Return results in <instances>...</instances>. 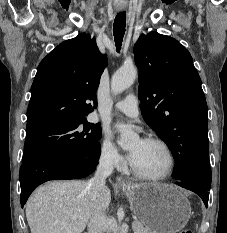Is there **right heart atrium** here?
I'll use <instances>...</instances> for the list:
<instances>
[{"label":"right heart atrium","instance_id":"d8ad5b80","mask_svg":"<svg viewBox=\"0 0 227 233\" xmlns=\"http://www.w3.org/2000/svg\"><path fill=\"white\" fill-rule=\"evenodd\" d=\"M99 162L109 169H118L124 164L123 157L108 135L102 137L99 149Z\"/></svg>","mask_w":227,"mask_h":233}]
</instances>
